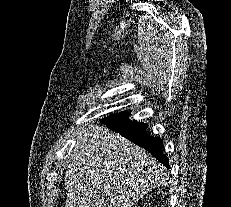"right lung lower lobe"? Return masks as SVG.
<instances>
[{
  "label": "right lung lower lobe",
  "mask_w": 231,
  "mask_h": 207,
  "mask_svg": "<svg viewBox=\"0 0 231 207\" xmlns=\"http://www.w3.org/2000/svg\"><path fill=\"white\" fill-rule=\"evenodd\" d=\"M101 122L106 123L112 130L146 149L164 166L169 167L168 158L163 154L162 140L159 137L148 135L145 123L129 120L127 112L110 115L102 119Z\"/></svg>",
  "instance_id": "98d812e1"
}]
</instances>
